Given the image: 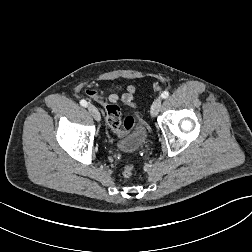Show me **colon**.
<instances>
[{
	"label": "colon",
	"mask_w": 252,
	"mask_h": 252,
	"mask_svg": "<svg viewBox=\"0 0 252 252\" xmlns=\"http://www.w3.org/2000/svg\"><path fill=\"white\" fill-rule=\"evenodd\" d=\"M86 93L104 106L107 124L115 135L122 137L133 127L134 119L132 116H128L122 123L120 108L117 105L108 104L103 97L97 96L94 90L87 89ZM134 169V164L128 163L123 169V175L126 178H130L133 175Z\"/></svg>",
	"instance_id": "1"
}]
</instances>
